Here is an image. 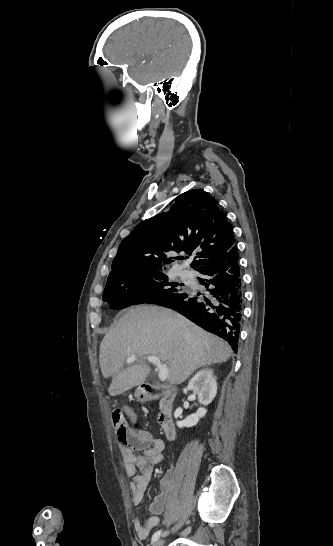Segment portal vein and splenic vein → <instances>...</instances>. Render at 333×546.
<instances>
[{
	"label": "portal vein and splenic vein",
	"instance_id": "18ae733b",
	"mask_svg": "<svg viewBox=\"0 0 333 546\" xmlns=\"http://www.w3.org/2000/svg\"><path fill=\"white\" fill-rule=\"evenodd\" d=\"M137 360L147 361L154 364L158 370V376L161 381H165L168 377V366L166 364H161L160 358L157 356H146L142 358H137L135 355L129 356L126 360L127 363H133Z\"/></svg>",
	"mask_w": 333,
	"mask_h": 546
}]
</instances>
